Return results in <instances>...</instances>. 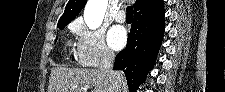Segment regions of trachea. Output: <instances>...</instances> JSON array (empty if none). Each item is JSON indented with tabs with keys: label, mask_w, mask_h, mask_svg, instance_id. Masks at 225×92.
Instances as JSON below:
<instances>
[{
	"label": "trachea",
	"mask_w": 225,
	"mask_h": 92,
	"mask_svg": "<svg viewBox=\"0 0 225 92\" xmlns=\"http://www.w3.org/2000/svg\"><path fill=\"white\" fill-rule=\"evenodd\" d=\"M126 16H127V18H133V7L132 6L127 7Z\"/></svg>",
	"instance_id": "obj_1"
}]
</instances>
